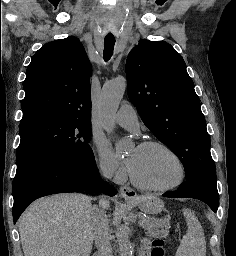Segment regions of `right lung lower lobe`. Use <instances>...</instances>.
Here are the masks:
<instances>
[{"instance_id": "obj_1", "label": "right lung lower lobe", "mask_w": 236, "mask_h": 256, "mask_svg": "<svg viewBox=\"0 0 236 256\" xmlns=\"http://www.w3.org/2000/svg\"><path fill=\"white\" fill-rule=\"evenodd\" d=\"M92 191L115 195V190L99 176L95 159L84 161L72 157L45 158L17 169L12 185L13 221L16 223L26 207L37 198L65 192Z\"/></svg>"}]
</instances>
